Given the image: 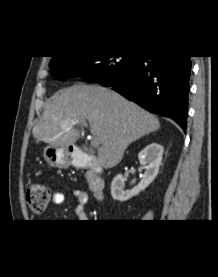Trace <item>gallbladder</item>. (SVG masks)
<instances>
[{
  "instance_id": "obj_1",
  "label": "gallbladder",
  "mask_w": 218,
  "mask_h": 277,
  "mask_svg": "<svg viewBox=\"0 0 218 277\" xmlns=\"http://www.w3.org/2000/svg\"><path fill=\"white\" fill-rule=\"evenodd\" d=\"M82 149H83L84 151H86V148H85V147H82Z\"/></svg>"
}]
</instances>
